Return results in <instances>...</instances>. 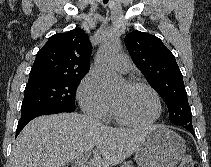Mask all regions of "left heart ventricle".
<instances>
[{
    "mask_svg": "<svg viewBox=\"0 0 211 167\" xmlns=\"http://www.w3.org/2000/svg\"><path fill=\"white\" fill-rule=\"evenodd\" d=\"M111 97L117 110L131 120L148 121L157 113L155 97L145 88H132L125 83Z\"/></svg>",
    "mask_w": 211,
    "mask_h": 167,
    "instance_id": "obj_1",
    "label": "left heart ventricle"
}]
</instances>
